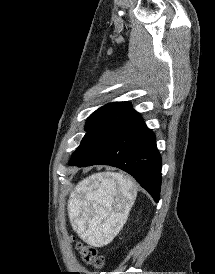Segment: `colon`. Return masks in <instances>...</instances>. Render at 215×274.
I'll use <instances>...</instances> for the list:
<instances>
[{
	"label": "colon",
	"mask_w": 215,
	"mask_h": 274,
	"mask_svg": "<svg viewBox=\"0 0 215 274\" xmlns=\"http://www.w3.org/2000/svg\"><path fill=\"white\" fill-rule=\"evenodd\" d=\"M81 260L92 266L94 269H100L104 266V257L99 254L95 247L78 246Z\"/></svg>",
	"instance_id": "colon-1"
}]
</instances>
